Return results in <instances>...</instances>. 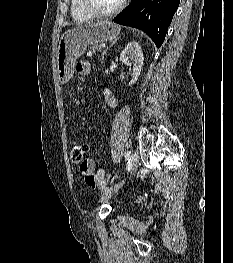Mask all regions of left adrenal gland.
<instances>
[{
  "label": "left adrenal gland",
  "mask_w": 233,
  "mask_h": 263,
  "mask_svg": "<svg viewBox=\"0 0 233 263\" xmlns=\"http://www.w3.org/2000/svg\"><path fill=\"white\" fill-rule=\"evenodd\" d=\"M117 40H118V38L115 39L114 41H112V43L109 45V47H107V48L103 51V53H102V55H101V63H103V61H104V55L106 54L107 50H109V49L117 42Z\"/></svg>",
  "instance_id": "a2214340"
}]
</instances>
